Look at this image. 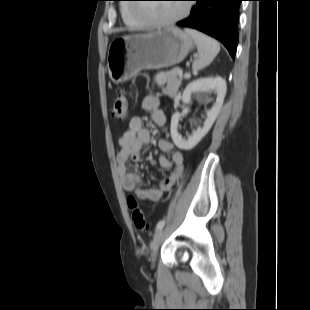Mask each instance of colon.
Here are the masks:
<instances>
[{"label":"colon","mask_w":310,"mask_h":310,"mask_svg":"<svg viewBox=\"0 0 310 310\" xmlns=\"http://www.w3.org/2000/svg\"><path fill=\"white\" fill-rule=\"evenodd\" d=\"M127 113H128V99L124 92H120L118 93L113 102L111 115L117 119H125ZM127 203L134 226L140 231H148L149 226L145 220L144 213L139 207L135 197L129 196L127 199Z\"/></svg>","instance_id":"5ec220e1"}]
</instances>
